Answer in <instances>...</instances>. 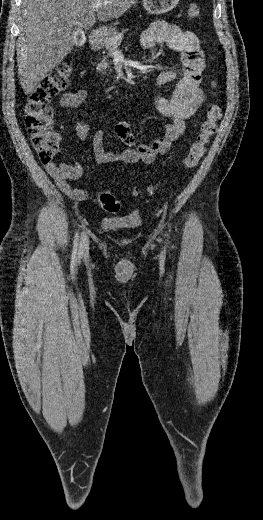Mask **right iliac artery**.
<instances>
[{"mask_svg": "<svg viewBox=\"0 0 263 520\" xmlns=\"http://www.w3.org/2000/svg\"><path fill=\"white\" fill-rule=\"evenodd\" d=\"M78 237H79L78 234H76V236H75V240H74V246H73V254H75L76 251H77V246H78Z\"/></svg>", "mask_w": 263, "mask_h": 520, "instance_id": "82829eb1", "label": "right iliac artery"}]
</instances>
